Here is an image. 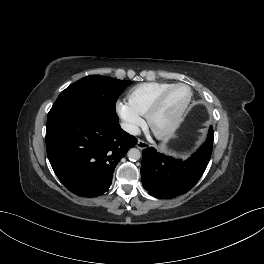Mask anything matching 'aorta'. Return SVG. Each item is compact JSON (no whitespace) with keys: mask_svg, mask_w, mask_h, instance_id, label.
<instances>
[{"mask_svg":"<svg viewBox=\"0 0 264 264\" xmlns=\"http://www.w3.org/2000/svg\"><path fill=\"white\" fill-rule=\"evenodd\" d=\"M127 155L130 161H137L141 157V152L137 148H132Z\"/></svg>","mask_w":264,"mask_h":264,"instance_id":"1","label":"aorta"}]
</instances>
